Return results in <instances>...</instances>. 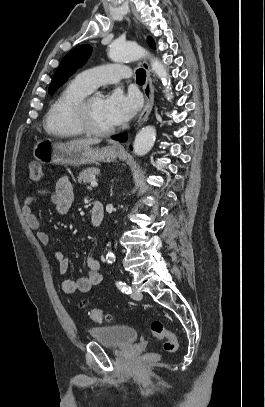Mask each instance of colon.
<instances>
[{
  "label": "colon",
  "mask_w": 265,
  "mask_h": 407,
  "mask_svg": "<svg viewBox=\"0 0 265 407\" xmlns=\"http://www.w3.org/2000/svg\"><path fill=\"white\" fill-rule=\"evenodd\" d=\"M43 179L42 166L38 161H32L29 165L28 181L30 184L38 183ZM83 306V302L79 303ZM90 318L95 322L111 321L112 316L104 313L101 309L93 308L89 311ZM150 333L153 337L163 341V351L174 353L178 348L176 335L169 330L161 321L155 320L150 325ZM160 358L158 353H150L144 357L147 361H156Z\"/></svg>",
  "instance_id": "5ec220e1"
}]
</instances>
